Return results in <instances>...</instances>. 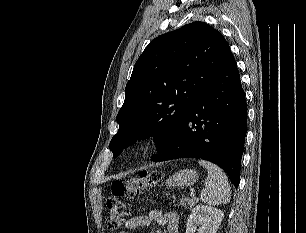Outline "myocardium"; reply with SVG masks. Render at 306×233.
Segmentation results:
<instances>
[{"label": "myocardium", "instance_id": "1", "mask_svg": "<svg viewBox=\"0 0 306 233\" xmlns=\"http://www.w3.org/2000/svg\"><path fill=\"white\" fill-rule=\"evenodd\" d=\"M157 135L152 132L140 135L134 143V150L138 154H148L152 152L157 145Z\"/></svg>", "mask_w": 306, "mask_h": 233}]
</instances>
